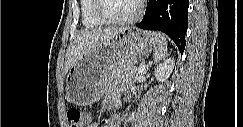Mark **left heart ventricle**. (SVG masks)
I'll return each mask as SVG.
<instances>
[{
    "mask_svg": "<svg viewBox=\"0 0 243 127\" xmlns=\"http://www.w3.org/2000/svg\"><path fill=\"white\" fill-rule=\"evenodd\" d=\"M103 8L110 17L125 18L134 13L136 0H103Z\"/></svg>",
    "mask_w": 243,
    "mask_h": 127,
    "instance_id": "1",
    "label": "left heart ventricle"
}]
</instances>
